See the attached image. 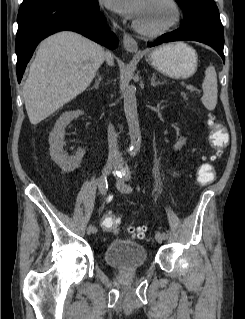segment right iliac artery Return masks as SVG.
<instances>
[{"label": "right iliac artery", "instance_id": "82829eb1", "mask_svg": "<svg viewBox=\"0 0 245 319\" xmlns=\"http://www.w3.org/2000/svg\"><path fill=\"white\" fill-rule=\"evenodd\" d=\"M99 189L101 191L102 194H105L106 189H107V179L106 177H101L99 179ZM111 199V197L108 198V201ZM92 231L93 233L97 232V228L95 226H92Z\"/></svg>", "mask_w": 245, "mask_h": 319}]
</instances>
